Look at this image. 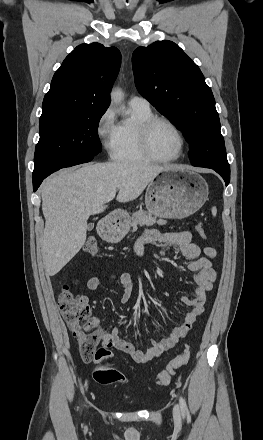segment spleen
Here are the masks:
<instances>
[{
  "instance_id": "3e777b00",
  "label": "spleen",
  "mask_w": 263,
  "mask_h": 440,
  "mask_svg": "<svg viewBox=\"0 0 263 440\" xmlns=\"http://www.w3.org/2000/svg\"><path fill=\"white\" fill-rule=\"evenodd\" d=\"M212 214H213L214 217L216 216V214H217V209H216V207H213V208H212Z\"/></svg>"
}]
</instances>
